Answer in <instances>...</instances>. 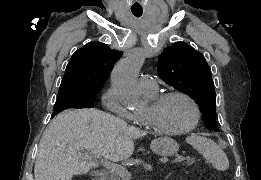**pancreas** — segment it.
Listing matches in <instances>:
<instances>
[{
    "mask_svg": "<svg viewBox=\"0 0 261 180\" xmlns=\"http://www.w3.org/2000/svg\"><path fill=\"white\" fill-rule=\"evenodd\" d=\"M184 164H186L187 167H195L196 166L194 158H186V161L184 162Z\"/></svg>",
    "mask_w": 261,
    "mask_h": 180,
    "instance_id": "obj_1",
    "label": "pancreas"
}]
</instances>
